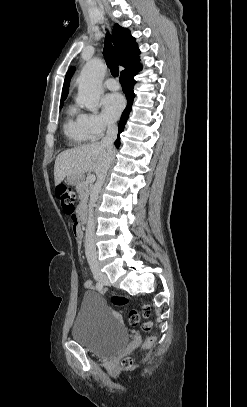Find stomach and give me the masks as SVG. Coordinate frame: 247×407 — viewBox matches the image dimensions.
I'll return each instance as SVG.
<instances>
[{"label":"stomach","mask_w":247,"mask_h":407,"mask_svg":"<svg viewBox=\"0 0 247 407\" xmlns=\"http://www.w3.org/2000/svg\"><path fill=\"white\" fill-rule=\"evenodd\" d=\"M82 181H84L82 176H78V175L67 176V183L70 185H77V184L81 183Z\"/></svg>","instance_id":"obj_1"}]
</instances>
